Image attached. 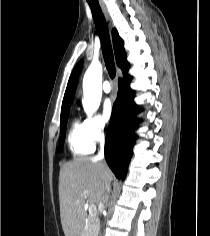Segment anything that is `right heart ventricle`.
Instances as JSON below:
<instances>
[{"label": "right heart ventricle", "mask_w": 210, "mask_h": 236, "mask_svg": "<svg viewBox=\"0 0 210 236\" xmlns=\"http://www.w3.org/2000/svg\"><path fill=\"white\" fill-rule=\"evenodd\" d=\"M67 144L74 156H83L93 152L94 144L88 138L85 121L78 116H73L68 128Z\"/></svg>", "instance_id": "obj_1"}]
</instances>
